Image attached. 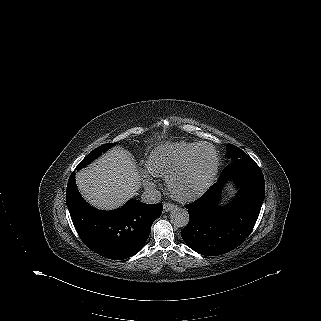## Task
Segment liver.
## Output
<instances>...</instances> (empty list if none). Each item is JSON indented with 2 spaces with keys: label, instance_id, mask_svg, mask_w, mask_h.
<instances>
[{
  "label": "liver",
  "instance_id": "6515ba94",
  "mask_svg": "<svg viewBox=\"0 0 321 321\" xmlns=\"http://www.w3.org/2000/svg\"><path fill=\"white\" fill-rule=\"evenodd\" d=\"M82 196L94 207L111 210L137 194L140 175L133 157L114 147L76 174Z\"/></svg>",
  "mask_w": 321,
  "mask_h": 321
}]
</instances>
